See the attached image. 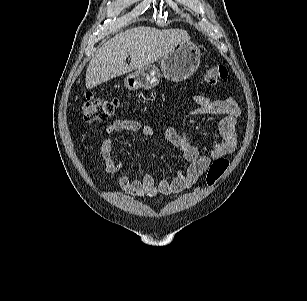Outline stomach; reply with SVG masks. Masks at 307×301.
I'll return each instance as SVG.
<instances>
[{
    "label": "stomach",
    "mask_w": 307,
    "mask_h": 301,
    "mask_svg": "<svg viewBox=\"0 0 307 301\" xmlns=\"http://www.w3.org/2000/svg\"><path fill=\"white\" fill-rule=\"evenodd\" d=\"M201 46L190 41L180 42L161 59V72L172 82H182L191 77L201 61ZM161 79L160 70L155 65H148L130 73L124 80L129 90L152 89Z\"/></svg>",
    "instance_id": "stomach-1"
}]
</instances>
